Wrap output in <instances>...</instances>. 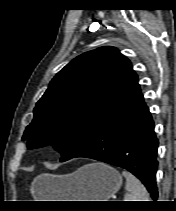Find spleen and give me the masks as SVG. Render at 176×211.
Returning a JSON list of instances; mask_svg holds the SVG:
<instances>
[{"instance_id":"obj_1","label":"spleen","mask_w":176,"mask_h":211,"mask_svg":"<svg viewBox=\"0 0 176 211\" xmlns=\"http://www.w3.org/2000/svg\"><path fill=\"white\" fill-rule=\"evenodd\" d=\"M122 175L126 178L124 201H150L145 186L133 174L124 170Z\"/></svg>"}]
</instances>
